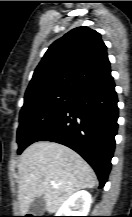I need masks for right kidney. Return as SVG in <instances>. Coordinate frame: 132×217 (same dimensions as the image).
Returning a JSON list of instances; mask_svg holds the SVG:
<instances>
[{
	"label": "right kidney",
	"instance_id": "right-kidney-1",
	"mask_svg": "<svg viewBox=\"0 0 132 217\" xmlns=\"http://www.w3.org/2000/svg\"><path fill=\"white\" fill-rule=\"evenodd\" d=\"M91 203L89 192L78 191L63 204L56 216H87Z\"/></svg>",
	"mask_w": 132,
	"mask_h": 217
}]
</instances>
